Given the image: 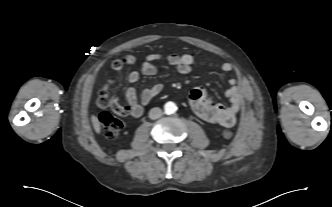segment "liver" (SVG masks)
I'll return each mask as SVG.
<instances>
[{
    "instance_id": "liver-1",
    "label": "liver",
    "mask_w": 332,
    "mask_h": 207,
    "mask_svg": "<svg viewBox=\"0 0 332 207\" xmlns=\"http://www.w3.org/2000/svg\"><path fill=\"white\" fill-rule=\"evenodd\" d=\"M91 122L93 124V128H94L95 132L97 134H100V132H101L100 122L95 115L91 116Z\"/></svg>"
}]
</instances>
